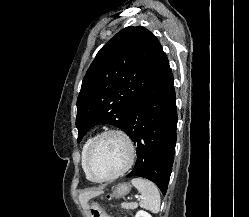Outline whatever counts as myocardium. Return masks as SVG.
Returning a JSON list of instances; mask_svg holds the SVG:
<instances>
[{"label":"myocardium","instance_id":"obj_1","mask_svg":"<svg viewBox=\"0 0 249 217\" xmlns=\"http://www.w3.org/2000/svg\"><path fill=\"white\" fill-rule=\"evenodd\" d=\"M109 135L119 136L125 142V144L128 148V159H127L125 166L121 170H119L118 172H116L113 175L108 176V177L99 178V177H96L90 169V158H91V155H92L93 150L96 147L97 143L101 139H103L104 137L109 136ZM135 157H136V150H135L134 143H133L132 139L130 138V136L126 132H124L123 130H120V129H107V130H104V131L100 132L99 134H97L93 138V140L91 141L89 148L87 150L86 156H85V170H86L87 175L93 181H95V182H109V181H112V180H115V179L121 177L126 172H128L135 161Z\"/></svg>","mask_w":249,"mask_h":217}]
</instances>
